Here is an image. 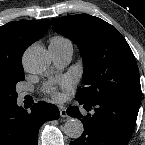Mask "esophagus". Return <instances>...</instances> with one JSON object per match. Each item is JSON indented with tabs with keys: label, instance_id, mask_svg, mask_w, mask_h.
Here are the masks:
<instances>
[{
	"label": "esophagus",
	"instance_id": "1",
	"mask_svg": "<svg viewBox=\"0 0 145 145\" xmlns=\"http://www.w3.org/2000/svg\"><path fill=\"white\" fill-rule=\"evenodd\" d=\"M60 116L65 118L67 117L66 108L64 106H59Z\"/></svg>",
	"mask_w": 145,
	"mask_h": 145
}]
</instances>
